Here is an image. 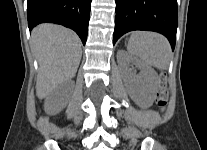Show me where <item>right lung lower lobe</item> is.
<instances>
[{
	"label": "right lung lower lobe",
	"mask_w": 207,
	"mask_h": 150,
	"mask_svg": "<svg viewBox=\"0 0 207 150\" xmlns=\"http://www.w3.org/2000/svg\"><path fill=\"white\" fill-rule=\"evenodd\" d=\"M91 0H28V26L56 23L73 29L85 45Z\"/></svg>",
	"instance_id": "obj_1"
}]
</instances>
